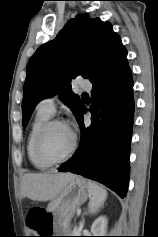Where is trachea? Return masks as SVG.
<instances>
[{
  "label": "trachea",
  "instance_id": "trachea-1",
  "mask_svg": "<svg viewBox=\"0 0 158 237\" xmlns=\"http://www.w3.org/2000/svg\"><path fill=\"white\" fill-rule=\"evenodd\" d=\"M82 96H88V94L84 92V93H82Z\"/></svg>",
  "mask_w": 158,
  "mask_h": 237
}]
</instances>
